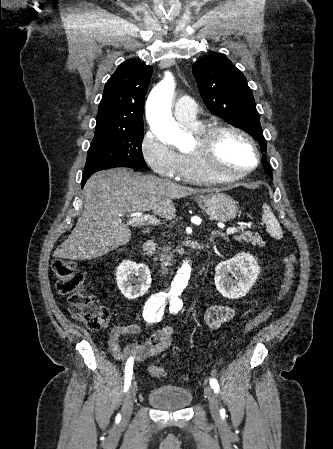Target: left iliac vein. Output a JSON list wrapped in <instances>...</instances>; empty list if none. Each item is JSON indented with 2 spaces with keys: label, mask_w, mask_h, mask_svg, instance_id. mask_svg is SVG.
<instances>
[{
  "label": "left iliac vein",
  "mask_w": 333,
  "mask_h": 449,
  "mask_svg": "<svg viewBox=\"0 0 333 449\" xmlns=\"http://www.w3.org/2000/svg\"><path fill=\"white\" fill-rule=\"evenodd\" d=\"M205 393L208 398L211 416L215 421H219L220 420V408H219L217 396H216L215 392L213 391V389L210 388L209 386L205 387Z\"/></svg>",
  "instance_id": "left-iliac-vein-1"
}]
</instances>
